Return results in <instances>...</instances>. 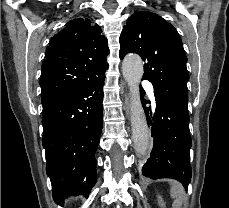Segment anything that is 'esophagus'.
<instances>
[{
  "label": "esophagus",
  "instance_id": "34e87169",
  "mask_svg": "<svg viewBox=\"0 0 229 208\" xmlns=\"http://www.w3.org/2000/svg\"><path fill=\"white\" fill-rule=\"evenodd\" d=\"M124 100H125L126 116L128 117V119H130V116H131V107H130L129 95L127 93L124 96Z\"/></svg>",
  "mask_w": 229,
  "mask_h": 208
}]
</instances>
